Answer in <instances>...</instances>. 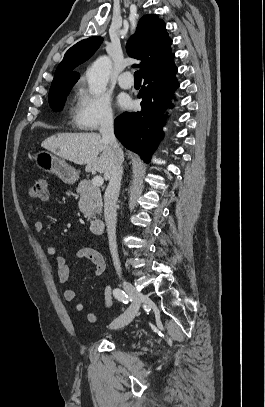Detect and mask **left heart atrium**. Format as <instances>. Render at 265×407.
<instances>
[{"mask_svg": "<svg viewBox=\"0 0 265 407\" xmlns=\"http://www.w3.org/2000/svg\"><path fill=\"white\" fill-rule=\"evenodd\" d=\"M119 105L122 108H128L130 106V101L126 97H122L119 99Z\"/></svg>", "mask_w": 265, "mask_h": 407, "instance_id": "39dd6f15", "label": "left heart atrium"}]
</instances>
